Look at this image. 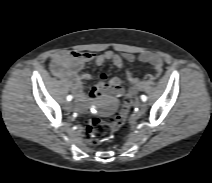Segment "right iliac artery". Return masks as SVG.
I'll return each instance as SVG.
<instances>
[{
    "mask_svg": "<svg viewBox=\"0 0 212 183\" xmlns=\"http://www.w3.org/2000/svg\"><path fill=\"white\" fill-rule=\"evenodd\" d=\"M67 101H71L72 100V96L71 95H69V96H67Z\"/></svg>",
    "mask_w": 212,
    "mask_h": 183,
    "instance_id": "82829eb1",
    "label": "right iliac artery"
}]
</instances>
